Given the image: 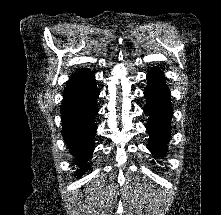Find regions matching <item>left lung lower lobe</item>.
I'll return each mask as SVG.
<instances>
[{
    "label": "left lung lower lobe",
    "mask_w": 221,
    "mask_h": 215,
    "mask_svg": "<svg viewBox=\"0 0 221 215\" xmlns=\"http://www.w3.org/2000/svg\"><path fill=\"white\" fill-rule=\"evenodd\" d=\"M148 85L145 89L146 105L144 111L150 116L146 129L149 131L148 149L157 156L167 151L171 133L170 120L173 109L170 103V91L163 73L153 68L147 74Z\"/></svg>",
    "instance_id": "0a47b994"
}]
</instances>
